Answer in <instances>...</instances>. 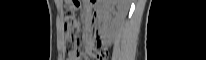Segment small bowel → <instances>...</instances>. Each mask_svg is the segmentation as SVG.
<instances>
[{"mask_svg": "<svg viewBox=\"0 0 206 60\" xmlns=\"http://www.w3.org/2000/svg\"><path fill=\"white\" fill-rule=\"evenodd\" d=\"M88 52H89L90 55H95L96 49H95L92 42H90L89 45H88ZM77 59L78 58H70V60H77ZM85 59H87V58H85Z\"/></svg>", "mask_w": 206, "mask_h": 60, "instance_id": "1", "label": "small bowel"}]
</instances>
